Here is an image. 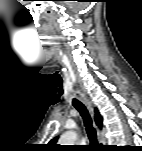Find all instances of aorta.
I'll use <instances>...</instances> for the list:
<instances>
[{
	"mask_svg": "<svg viewBox=\"0 0 142 151\" xmlns=\"http://www.w3.org/2000/svg\"><path fill=\"white\" fill-rule=\"evenodd\" d=\"M76 139H77V133L75 131L69 130L60 137L59 144L74 145Z\"/></svg>",
	"mask_w": 142,
	"mask_h": 151,
	"instance_id": "762f6f07",
	"label": "aorta"
}]
</instances>
